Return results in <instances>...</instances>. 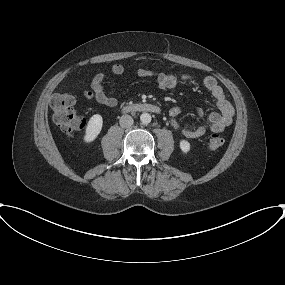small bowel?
<instances>
[{
	"label": "small bowel",
	"instance_id": "c3829d8e",
	"mask_svg": "<svg viewBox=\"0 0 285 285\" xmlns=\"http://www.w3.org/2000/svg\"><path fill=\"white\" fill-rule=\"evenodd\" d=\"M136 74L141 77L153 76L156 78L157 84L161 89L170 91L176 90L181 80L185 82L194 80V77L190 74H182L179 76L174 73H163L146 69H138ZM103 80L104 76L102 73L96 74L91 81V90L86 91L85 95L88 98L96 99L102 105L115 107L118 101L115 97L105 92ZM203 85L216 101L217 112L210 113L207 118L199 124H182L178 120L182 108L175 106L169 111L172 127L186 138H198L203 136L207 131L215 133L222 132L233 120L234 109L227 100L217 80L212 76L205 77ZM197 115L203 118V111L198 109Z\"/></svg>",
	"mask_w": 285,
	"mask_h": 285
}]
</instances>
